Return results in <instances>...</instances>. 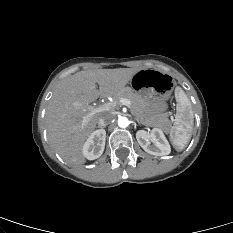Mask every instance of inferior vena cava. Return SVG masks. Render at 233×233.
<instances>
[{"label": "inferior vena cava", "mask_w": 233, "mask_h": 233, "mask_svg": "<svg viewBox=\"0 0 233 233\" xmlns=\"http://www.w3.org/2000/svg\"><path fill=\"white\" fill-rule=\"evenodd\" d=\"M113 114L106 112L101 117L98 118V125L99 126H106L113 120Z\"/></svg>", "instance_id": "inferior-vena-cava-1"}]
</instances>
